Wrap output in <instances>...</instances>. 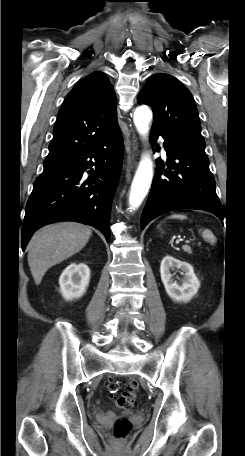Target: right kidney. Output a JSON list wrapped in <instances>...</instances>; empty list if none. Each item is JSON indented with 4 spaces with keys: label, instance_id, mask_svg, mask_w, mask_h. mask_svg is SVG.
Masks as SVG:
<instances>
[{
    "label": "right kidney",
    "instance_id": "obj_1",
    "mask_svg": "<svg viewBox=\"0 0 245 456\" xmlns=\"http://www.w3.org/2000/svg\"><path fill=\"white\" fill-rule=\"evenodd\" d=\"M90 279V269L84 263H71L59 278L60 292L66 300L80 298L86 292Z\"/></svg>",
    "mask_w": 245,
    "mask_h": 456
}]
</instances>
